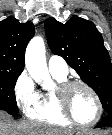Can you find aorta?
<instances>
[{"label": "aorta", "instance_id": "762f6f07", "mask_svg": "<svg viewBox=\"0 0 112 135\" xmlns=\"http://www.w3.org/2000/svg\"><path fill=\"white\" fill-rule=\"evenodd\" d=\"M25 66L30 76L41 86L53 84L48 72L45 44L42 37H34L29 42L25 54Z\"/></svg>", "mask_w": 112, "mask_h": 135}]
</instances>
